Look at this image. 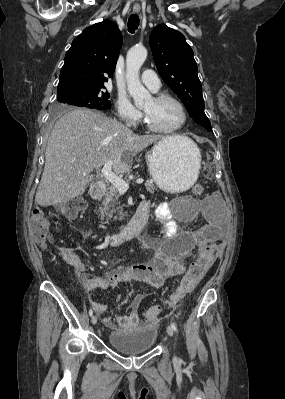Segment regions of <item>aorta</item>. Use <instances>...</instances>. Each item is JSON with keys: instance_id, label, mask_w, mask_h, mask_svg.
I'll use <instances>...</instances> for the list:
<instances>
[{"instance_id": "obj_1", "label": "aorta", "mask_w": 285, "mask_h": 399, "mask_svg": "<svg viewBox=\"0 0 285 399\" xmlns=\"http://www.w3.org/2000/svg\"><path fill=\"white\" fill-rule=\"evenodd\" d=\"M147 57V50L143 46L132 47L126 57V82L128 92L137 107L143 106L151 99L148 90L141 84L139 71Z\"/></svg>"}]
</instances>
